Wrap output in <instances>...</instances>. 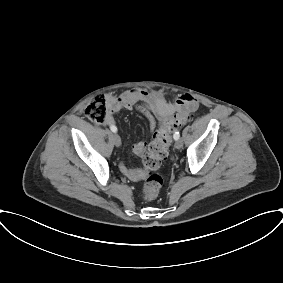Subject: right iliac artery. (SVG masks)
I'll list each match as a JSON object with an SVG mask.
<instances>
[{
	"label": "right iliac artery",
	"mask_w": 283,
	"mask_h": 283,
	"mask_svg": "<svg viewBox=\"0 0 283 283\" xmlns=\"http://www.w3.org/2000/svg\"><path fill=\"white\" fill-rule=\"evenodd\" d=\"M110 129H111V131L112 132H117V128H116V126H114V125H112V126H110Z\"/></svg>",
	"instance_id": "right-iliac-artery-1"
}]
</instances>
